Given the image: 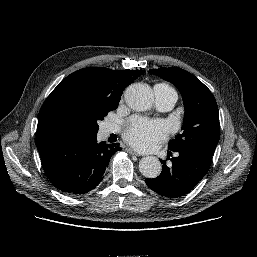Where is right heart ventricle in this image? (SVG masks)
Listing matches in <instances>:
<instances>
[{
	"label": "right heart ventricle",
	"instance_id": "e07e8e85",
	"mask_svg": "<svg viewBox=\"0 0 257 257\" xmlns=\"http://www.w3.org/2000/svg\"><path fill=\"white\" fill-rule=\"evenodd\" d=\"M159 86H161V87H163L164 89H166V90H169V91H172L173 92V90L168 86V85H166V84H158Z\"/></svg>",
	"mask_w": 257,
	"mask_h": 257
}]
</instances>
